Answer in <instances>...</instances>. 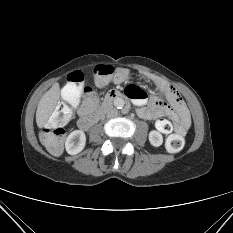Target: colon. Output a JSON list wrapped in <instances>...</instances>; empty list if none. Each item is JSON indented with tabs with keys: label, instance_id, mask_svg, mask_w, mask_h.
<instances>
[{
	"label": "colon",
	"instance_id": "5ec220e1",
	"mask_svg": "<svg viewBox=\"0 0 233 233\" xmlns=\"http://www.w3.org/2000/svg\"><path fill=\"white\" fill-rule=\"evenodd\" d=\"M115 69L110 65L99 64L93 69L94 81L97 86L106 85L113 77ZM96 99L95 91L84 85V75L81 71H73L67 77L62 89V100L57 104L50 119L41 133L40 139L44 146L53 154L62 150L66 134L65 125L72 116L73 108L78 104L80 95ZM185 144L184 138L173 134L166 140V147L171 152L180 151Z\"/></svg>",
	"mask_w": 233,
	"mask_h": 233
}]
</instances>
